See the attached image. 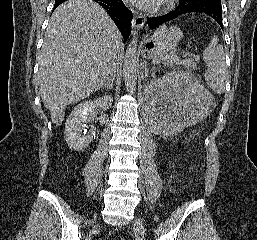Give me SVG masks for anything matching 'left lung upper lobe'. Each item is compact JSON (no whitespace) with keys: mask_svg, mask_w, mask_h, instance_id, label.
Instances as JSON below:
<instances>
[{"mask_svg":"<svg viewBox=\"0 0 257 240\" xmlns=\"http://www.w3.org/2000/svg\"><path fill=\"white\" fill-rule=\"evenodd\" d=\"M183 1L187 2V3H191V4H196L199 2H205V1H209V0H183ZM218 1H221V0H218Z\"/></svg>","mask_w":257,"mask_h":240,"instance_id":"left-lung-upper-lobe-1","label":"left lung upper lobe"}]
</instances>
